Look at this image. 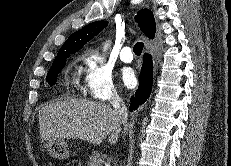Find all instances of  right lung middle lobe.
<instances>
[{
  "instance_id": "obj_1",
  "label": "right lung middle lobe",
  "mask_w": 231,
  "mask_h": 166,
  "mask_svg": "<svg viewBox=\"0 0 231 166\" xmlns=\"http://www.w3.org/2000/svg\"><path fill=\"white\" fill-rule=\"evenodd\" d=\"M70 56V54H66V55H60L57 56L47 74L46 77V81L48 82V84H50L51 86L55 85L56 80H57V76L60 73V71L62 70V68L64 67L65 63H66V59Z\"/></svg>"
}]
</instances>
